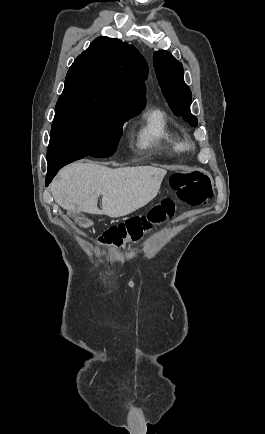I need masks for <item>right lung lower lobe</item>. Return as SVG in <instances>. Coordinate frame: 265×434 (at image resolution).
<instances>
[{"mask_svg": "<svg viewBox=\"0 0 265 434\" xmlns=\"http://www.w3.org/2000/svg\"><path fill=\"white\" fill-rule=\"evenodd\" d=\"M81 158H84V157L59 160V161H56L53 163H49L48 164V172H47L46 180H45L46 186H48V184L52 181L53 177L56 175V173L58 172L59 169H61L65 165H67L73 161H76L78 159H81Z\"/></svg>", "mask_w": 265, "mask_h": 434, "instance_id": "98d812e1", "label": "right lung lower lobe"}]
</instances>
